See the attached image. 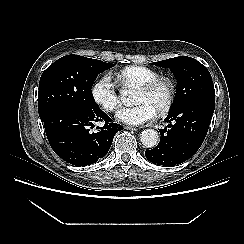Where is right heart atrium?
I'll return each instance as SVG.
<instances>
[{"instance_id":"obj_1","label":"right heart atrium","mask_w":244,"mask_h":244,"mask_svg":"<svg viewBox=\"0 0 244 244\" xmlns=\"http://www.w3.org/2000/svg\"><path fill=\"white\" fill-rule=\"evenodd\" d=\"M94 102L107 112H113L120 106L119 95L109 76L99 78L91 88Z\"/></svg>"}]
</instances>
